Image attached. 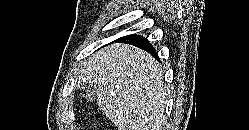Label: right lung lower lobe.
I'll list each match as a JSON object with an SVG mask.
<instances>
[{
    "instance_id": "1",
    "label": "right lung lower lobe",
    "mask_w": 249,
    "mask_h": 130,
    "mask_svg": "<svg viewBox=\"0 0 249 130\" xmlns=\"http://www.w3.org/2000/svg\"><path fill=\"white\" fill-rule=\"evenodd\" d=\"M116 42L132 44L138 48L146 50L151 55H153L155 58H157V54H156L154 47L152 46V44L149 43L147 38H144L143 36L136 35V34L127 35V36L117 39Z\"/></svg>"
}]
</instances>
